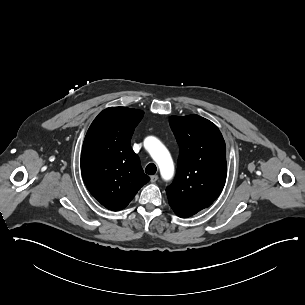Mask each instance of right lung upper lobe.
<instances>
[{"label":"right lung upper lobe","mask_w":305,"mask_h":305,"mask_svg":"<svg viewBox=\"0 0 305 305\" xmlns=\"http://www.w3.org/2000/svg\"><path fill=\"white\" fill-rule=\"evenodd\" d=\"M144 112L126 107L103 110L92 122L81 152V172L90 193L113 211L125 208L150 178L130 146Z\"/></svg>","instance_id":"right-lung-upper-lobe-1"}]
</instances>
